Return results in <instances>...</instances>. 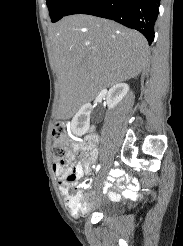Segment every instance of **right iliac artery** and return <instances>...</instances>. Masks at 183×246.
<instances>
[{"instance_id": "1", "label": "right iliac artery", "mask_w": 183, "mask_h": 246, "mask_svg": "<svg viewBox=\"0 0 183 246\" xmlns=\"http://www.w3.org/2000/svg\"><path fill=\"white\" fill-rule=\"evenodd\" d=\"M100 169V165H97V168H96V171H98ZM118 172L115 170V171H112V175H117Z\"/></svg>"}]
</instances>
